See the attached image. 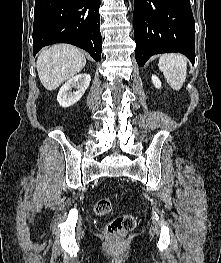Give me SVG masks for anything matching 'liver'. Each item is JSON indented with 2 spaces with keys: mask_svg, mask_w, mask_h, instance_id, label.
<instances>
[{
  "mask_svg": "<svg viewBox=\"0 0 221 263\" xmlns=\"http://www.w3.org/2000/svg\"><path fill=\"white\" fill-rule=\"evenodd\" d=\"M86 65L84 54L68 44H55L40 52L37 72L45 89L52 91L74 77Z\"/></svg>",
  "mask_w": 221,
  "mask_h": 263,
  "instance_id": "1",
  "label": "liver"
}]
</instances>
